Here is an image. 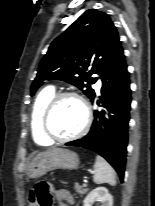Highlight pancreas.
I'll list each match as a JSON object with an SVG mask.
<instances>
[{
	"label": "pancreas",
	"mask_w": 155,
	"mask_h": 206,
	"mask_svg": "<svg viewBox=\"0 0 155 206\" xmlns=\"http://www.w3.org/2000/svg\"><path fill=\"white\" fill-rule=\"evenodd\" d=\"M74 189L77 193L81 195L85 194L88 191L86 188H83L82 186H80L79 183H75Z\"/></svg>",
	"instance_id": "1"
}]
</instances>
